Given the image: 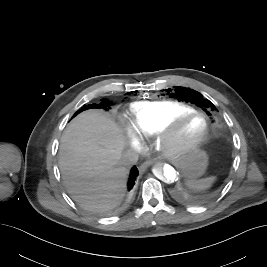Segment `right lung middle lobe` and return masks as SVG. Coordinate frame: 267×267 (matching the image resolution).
<instances>
[{
  "instance_id": "1",
  "label": "right lung middle lobe",
  "mask_w": 267,
  "mask_h": 267,
  "mask_svg": "<svg viewBox=\"0 0 267 267\" xmlns=\"http://www.w3.org/2000/svg\"><path fill=\"white\" fill-rule=\"evenodd\" d=\"M107 105H109V103L107 101L102 102L100 105H86V106L84 105V107L81 110H79L76 114H78L79 112H81V111H83L85 109H90V108H106Z\"/></svg>"
}]
</instances>
